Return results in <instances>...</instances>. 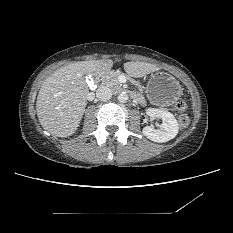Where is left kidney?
<instances>
[{"instance_id": "left-kidney-1", "label": "left kidney", "mask_w": 233, "mask_h": 233, "mask_svg": "<svg viewBox=\"0 0 233 233\" xmlns=\"http://www.w3.org/2000/svg\"><path fill=\"white\" fill-rule=\"evenodd\" d=\"M146 114L151 118H161L163 123L159 130H156L150 126L143 128V134L151 141L164 143L173 139L179 130L178 122L174 115L168 111L149 108L146 110Z\"/></svg>"}]
</instances>
